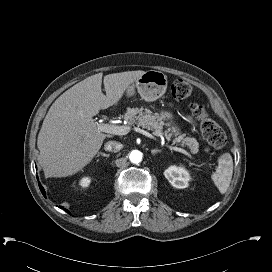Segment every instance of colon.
Wrapping results in <instances>:
<instances>
[{
    "mask_svg": "<svg viewBox=\"0 0 272 272\" xmlns=\"http://www.w3.org/2000/svg\"><path fill=\"white\" fill-rule=\"evenodd\" d=\"M171 92L176 99L185 100L191 96L192 86L187 81L179 79L172 84ZM190 107L193 117L199 121L202 137L214 149L223 148L226 143L225 134L218 124L208 117L205 106L193 102Z\"/></svg>",
    "mask_w": 272,
    "mask_h": 272,
    "instance_id": "5ec220e1",
    "label": "colon"
}]
</instances>
